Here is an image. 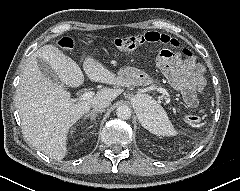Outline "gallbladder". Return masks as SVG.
Returning a JSON list of instances; mask_svg holds the SVG:
<instances>
[{
	"label": "gallbladder",
	"mask_w": 240,
	"mask_h": 191,
	"mask_svg": "<svg viewBox=\"0 0 240 191\" xmlns=\"http://www.w3.org/2000/svg\"><path fill=\"white\" fill-rule=\"evenodd\" d=\"M38 66L44 76L54 83L61 84L54 70L42 59H37Z\"/></svg>",
	"instance_id": "1"
}]
</instances>
